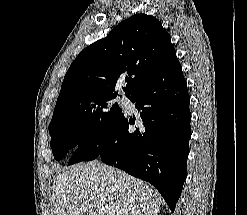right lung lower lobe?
Segmentation results:
<instances>
[{
    "mask_svg": "<svg viewBox=\"0 0 247 215\" xmlns=\"http://www.w3.org/2000/svg\"><path fill=\"white\" fill-rule=\"evenodd\" d=\"M127 97L141 110L137 122L122 113L103 132L80 143L68 164L99 157L151 183L174 212L187 175L191 136L190 100L175 49Z\"/></svg>",
    "mask_w": 247,
    "mask_h": 215,
    "instance_id": "obj_1",
    "label": "right lung lower lobe"
}]
</instances>
